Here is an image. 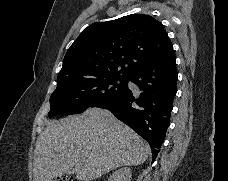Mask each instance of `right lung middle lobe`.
<instances>
[{"label":"right lung middle lobe","instance_id":"1","mask_svg":"<svg viewBox=\"0 0 228 181\" xmlns=\"http://www.w3.org/2000/svg\"><path fill=\"white\" fill-rule=\"evenodd\" d=\"M129 78L113 74L57 86L50 98L48 116L79 114L88 107L103 108L125 93Z\"/></svg>","mask_w":228,"mask_h":181}]
</instances>
